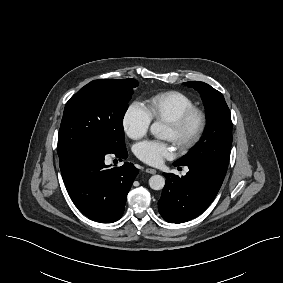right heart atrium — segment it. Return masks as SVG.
<instances>
[{"instance_id":"right-heart-atrium-1","label":"right heart atrium","mask_w":283,"mask_h":283,"mask_svg":"<svg viewBox=\"0 0 283 283\" xmlns=\"http://www.w3.org/2000/svg\"><path fill=\"white\" fill-rule=\"evenodd\" d=\"M122 124L127 136L136 140L146 135L151 125V118L140 101H133L124 112Z\"/></svg>"}]
</instances>
